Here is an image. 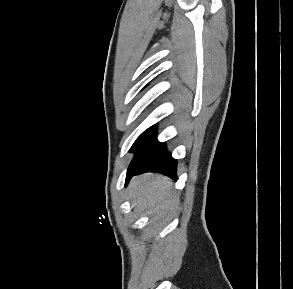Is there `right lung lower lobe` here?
Returning a JSON list of instances; mask_svg holds the SVG:
<instances>
[{"label":"right lung lower lobe","instance_id":"98d812e1","mask_svg":"<svg viewBox=\"0 0 293 289\" xmlns=\"http://www.w3.org/2000/svg\"><path fill=\"white\" fill-rule=\"evenodd\" d=\"M154 133L155 129L131 148V151L136 153L128 168L127 181L133 175L148 171L159 172L176 179L177 161L167 152L165 144L157 141Z\"/></svg>","mask_w":293,"mask_h":289}]
</instances>
